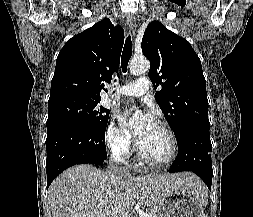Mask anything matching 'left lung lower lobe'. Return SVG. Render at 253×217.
I'll return each mask as SVG.
<instances>
[{
  "label": "left lung lower lobe",
  "instance_id": "0a47b994",
  "mask_svg": "<svg viewBox=\"0 0 253 217\" xmlns=\"http://www.w3.org/2000/svg\"><path fill=\"white\" fill-rule=\"evenodd\" d=\"M177 143L178 155L169 172H194L211 190L213 171L209 129L197 126L187 127L178 135Z\"/></svg>",
  "mask_w": 253,
  "mask_h": 217
}]
</instances>
